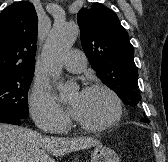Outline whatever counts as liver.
I'll list each match as a JSON object with an SVG mask.
<instances>
[{"label":"liver","mask_w":168,"mask_h":162,"mask_svg":"<svg viewBox=\"0 0 168 162\" xmlns=\"http://www.w3.org/2000/svg\"><path fill=\"white\" fill-rule=\"evenodd\" d=\"M94 146H100V142L91 138L44 137L28 128L0 123V162H55L54 156Z\"/></svg>","instance_id":"liver-1"}]
</instances>
